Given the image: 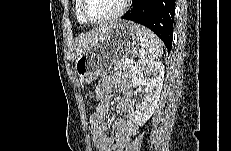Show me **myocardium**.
<instances>
[{
	"instance_id": "1",
	"label": "myocardium",
	"mask_w": 231,
	"mask_h": 151,
	"mask_svg": "<svg viewBox=\"0 0 231 151\" xmlns=\"http://www.w3.org/2000/svg\"><path fill=\"white\" fill-rule=\"evenodd\" d=\"M130 0H124L122 7L114 14L104 17V18H100V19H92L90 18L87 14H86V0H80V14L82 16V18L87 22V23H91V24H102V23H107V22H111L114 20L119 19L121 16L124 15V13L126 12V10L128 9Z\"/></svg>"
}]
</instances>
